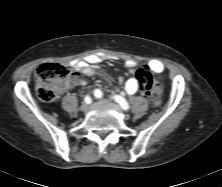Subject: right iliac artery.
<instances>
[{"label": "right iliac artery", "mask_w": 222, "mask_h": 187, "mask_svg": "<svg viewBox=\"0 0 222 187\" xmlns=\"http://www.w3.org/2000/svg\"><path fill=\"white\" fill-rule=\"evenodd\" d=\"M84 100L87 104H90L92 102V100L89 96H86Z\"/></svg>", "instance_id": "right-iliac-artery-1"}]
</instances>
